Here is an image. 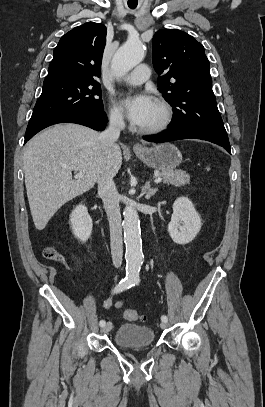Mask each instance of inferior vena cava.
Wrapping results in <instances>:
<instances>
[{"label": "inferior vena cava", "mask_w": 265, "mask_h": 407, "mask_svg": "<svg viewBox=\"0 0 265 407\" xmlns=\"http://www.w3.org/2000/svg\"><path fill=\"white\" fill-rule=\"evenodd\" d=\"M124 120L119 114H111L108 128L99 135L104 151L111 149L124 128ZM98 194L102 198L110 225V246L113 265L119 268L123 260V242L119 195L113 181V175L103 169L97 179Z\"/></svg>", "instance_id": "602c4592"}]
</instances>
